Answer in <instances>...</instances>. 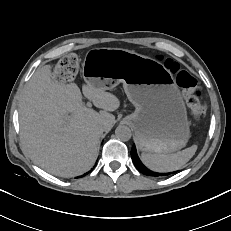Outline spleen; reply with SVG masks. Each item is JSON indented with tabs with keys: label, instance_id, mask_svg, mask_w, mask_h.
<instances>
[{
	"label": "spleen",
	"instance_id": "3e777b00",
	"mask_svg": "<svg viewBox=\"0 0 231 231\" xmlns=\"http://www.w3.org/2000/svg\"><path fill=\"white\" fill-rule=\"evenodd\" d=\"M197 145H192L174 154H149L143 152L141 158L149 169L156 172H170L182 168L195 154Z\"/></svg>",
	"mask_w": 231,
	"mask_h": 231
}]
</instances>
